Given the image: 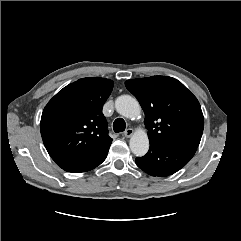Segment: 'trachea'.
<instances>
[{"instance_id": "trachea-1", "label": "trachea", "mask_w": 241, "mask_h": 241, "mask_svg": "<svg viewBox=\"0 0 241 241\" xmlns=\"http://www.w3.org/2000/svg\"><path fill=\"white\" fill-rule=\"evenodd\" d=\"M126 128V123L124 119L122 118H117L114 123H113V129L116 133L118 132H123Z\"/></svg>"}]
</instances>
